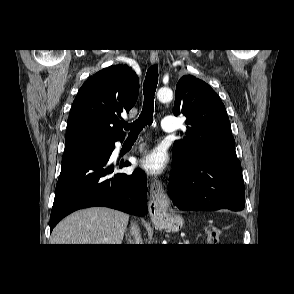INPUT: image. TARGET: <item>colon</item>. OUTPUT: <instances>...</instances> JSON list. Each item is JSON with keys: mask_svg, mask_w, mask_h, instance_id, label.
<instances>
[{"mask_svg": "<svg viewBox=\"0 0 294 294\" xmlns=\"http://www.w3.org/2000/svg\"><path fill=\"white\" fill-rule=\"evenodd\" d=\"M206 241L208 245H217L220 237V228L217 225L209 224L206 227Z\"/></svg>", "mask_w": 294, "mask_h": 294, "instance_id": "1", "label": "colon"}]
</instances>
